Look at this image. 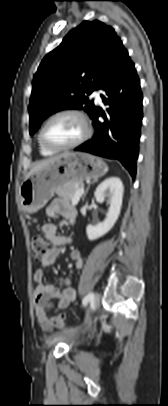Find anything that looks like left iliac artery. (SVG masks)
<instances>
[{"label": "left iliac artery", "mask_w": 168, "mask_h": 406, "mask_svg": "<svg viewBox=\"0 0 168 406\" xmlns=\"http://www.w3.org/2000/svg\"><path fill=\"white\" fill-rule=\"evenodd\" d=\"M94 293H89L88 295H86L83 300L82 303L84 306H86L88 304V302L93 298Z\"/></svg>", "instance_id": "obj_1"}]
</instances>
